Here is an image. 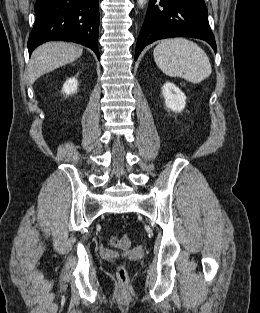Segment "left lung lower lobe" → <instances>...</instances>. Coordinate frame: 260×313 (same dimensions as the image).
I'll return each instance as SVG.
<instances>
[{"label":"left lung lower lobe","instance_id":"0a47b994","mask_svg":"<svg viewBox=\"0 0 260 313\" xmlns=\"http://www.w3.org/2000/svg\"><path fill=\"white\" fill-rule=\"evenodd\" d=\"M207 12L204 0H149L145 22L137 40L135 60L146 45L171 37L199 38L216 51Z\"/></svg>","mask_w":260,"mask_h":313}]
</instances>
